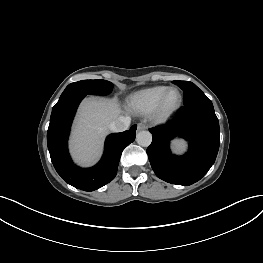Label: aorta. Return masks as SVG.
<instances>
[{
	"instance_id": "1",
	"label": "aorta",
	"mask_w": 263,
	"mask_h": 263,
	"mask_svg": "<svg viewBox=\"0 0 263 263\" xmlns=\"http://www.w3.org/2000/svg\"><path fill=\"white\" fill-rule=\"evenodd\" d=\"M136 141L140 146L148 147L152 142V135L149 131H140L136 135Z\"/></svg>"
}]
</instances>
